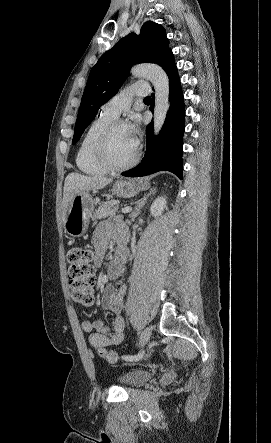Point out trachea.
<instances>
[{
	"label": "trachea",
	"instance_id": "3493384b",
	"mask_svg": "<svg viewBox=\"0 0 271 443\" xmlns=\"http://www.w3.org/2000/svg\"><path fill=\"white\" fill-rule=\"evenodd\" d=\"M148 100H151V97H145L144 98V101H148Z\"/></svg>",
	"mask_w": 271,
	"mask_h": 443
}]
</instances>
